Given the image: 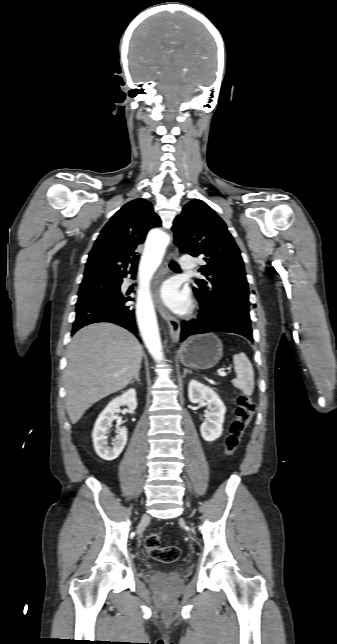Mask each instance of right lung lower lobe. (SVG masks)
<instances>
[{"label": "right lung lower lobe", "instance_id": "98d812e1", "mask_svg": "<svg viewBox=\"0 0 337 644\" xmlns=\"http://www.w3.org/2000/svg\"><path fill=\"white\" fill-rule=\"evenodd\" d=\"M135 276L136 269L128 271ZM127 273V274H128ZM123 275L119 281L122 283ZM133 299L120 292L97 301L78 305L76 307V319L73 323L72 335L80 328L97 322H111L120 325L138 336V329L135 321L134 309L127 305Z\"/></svg>", "mask_w": 337, "mask_h": 644}]
</instances>
